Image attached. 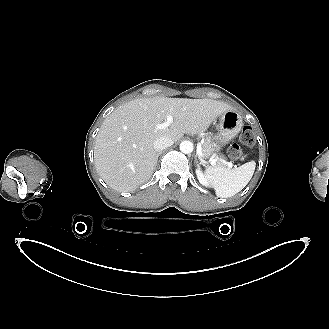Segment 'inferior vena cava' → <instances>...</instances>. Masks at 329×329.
<instances>
[{"mask_svg":"<svg viewBox=\"0 0 329 329\" xmlns=\"http://www.w3.org/2000/svg\"><path fill=\"white\" fill-rule=\"evenodd\" d=\"M172 145H173V140L171 138L162 136L155 140L154 149L160 152Z\"/></svg>","mask_w":329,"mask_h":329,"instance_id":"602c4592","label":"inferior vena cava"}]
</instances>
